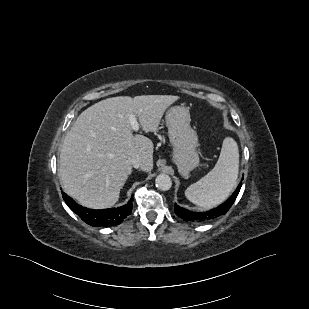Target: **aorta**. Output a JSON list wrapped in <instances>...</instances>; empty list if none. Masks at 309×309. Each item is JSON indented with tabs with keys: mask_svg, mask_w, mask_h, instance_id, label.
Here are the masks:
<instances>
[{
	"mask_svg": "<svg viewBox=\"0 0 309 309\" xmlns=\"http://www.w3.org/2000/svg\"><path fill=\"white\" fill-rule=\"evenodd\" d=\"M156 187L162 191H167L172 186V180L167 174H159L155 179Z\"/></svg>",
	"mask_w": 309,
	"mask_h": 309,
	"instance_id": "aorta-1",
	"label": "aorta"
}]
</instances>
